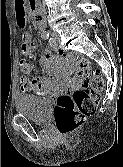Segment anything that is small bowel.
<instances>
[{"label":"small bowel","mask_w":123,"mask_h":167,"mask_svg":"<svg viewBox=\"0 0 123 167\" xmlns=\"http://www.w3.org/2000/svg\"><path fill=\"white\" fill-rule=\"evenodd\" d=\"M14 3L17 9L15 10V14H17L18 24L24 27L28 23V20H26L27 13H25L27 1L14 0ZM20 50L24 56L32 55L34 46L31 42V34L29 32H23ZM63 55L62 50H58L57 56H52L47 50H43L40 53L39 64L45 76L30 77L29 74L32 66L29 64L28 72L20 79V92L22 94L50 98L63 93L69 86L66 68L62 63Z\"/></svg>","instance_id":"small-bowel-1"}]
</instances>
